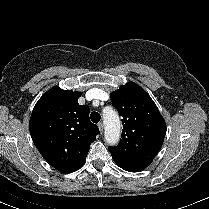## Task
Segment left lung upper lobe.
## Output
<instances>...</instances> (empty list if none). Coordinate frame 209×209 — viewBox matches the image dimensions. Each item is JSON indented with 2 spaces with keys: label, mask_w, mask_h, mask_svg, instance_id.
<instances>
[{
  "label": "left lung upper lobe",
  "mask_w": 209,
  "mask_h": 209,
  "mask_svg": "<svg viewBox=\"0 0 209 209\" xmlns=\"http://www.w3.org/2000/svg\"><path fill=\"white\" fill-rule=\"evenodd\" d=\"M111 101L123 117L124 126L119 145L109 147L112 157L149 165L166 134V123L156 104L135 83H127L112 92Z\"/></svg>",
  "instance_id": "1"
}]
</instances>
